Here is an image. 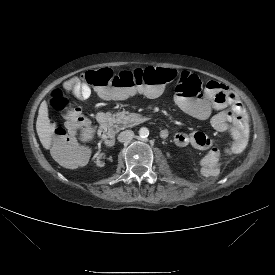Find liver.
<instances>
[{
    "instance_id": "6515ba94",
    "label": "liver",
    "mask_w": 275,
    "mask_h": 275,
    "mask_svg": "<svg viewBox=\"0 0 275 275\" xmlns=\"http://www.w3.org/2000/svg\"><path fill=\"white\" fill-rule=\"evenodd\" d=\"M56 124L50 122L48 116V105L46 101H43L40 105L38 117L36 121V130L39 136L40 142L43 147L50 149L52 144V136L55 132ZM94 128L91 127L89 121L86 122V127L83 128L82 133L80 134V140L82 142H89L94 138Z\"/></svg>"
}]
</instances>
